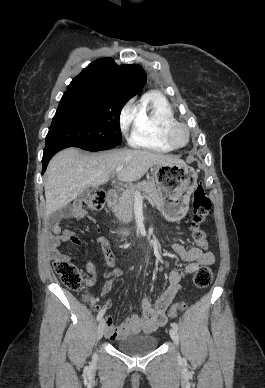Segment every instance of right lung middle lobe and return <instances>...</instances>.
Returning <instances> with one entry per match:
<instances>
[{
    "label": "right lung middle lobe",
    "mask_w": 265,
    "mask_h": 388,
    "mask_svg": "<svg viewBox=\"0 0 265 388\" xmlns=\"http://www.w3.org/2000/svg\"><path fill=\"white\" fill-rule=\"evenodd\" d=\"M130 98L110 93H65L45 138L57 145L100 151L121 144L120 112Z\"/></svg>",
    "instance_id": "dd1d6c3e"
}]
</instances>
